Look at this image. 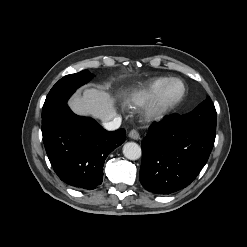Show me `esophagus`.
Wrapping results in <instances>:
<instances>
[{"label": "esophagus", "instance_id": "1", "mask_svg": "<svg viewBox=\"0 0 247 247\" xmlns=\"http://www.w3.org/2000/svg\"><path fill=\"white\" fill-rule=\"evenodd\" d=\"M129 137L133 140H139L140 139V135L136 130H131L129 132Z\"/></svg>", "mask_w": 247, "mask_h": 247}]
</instances>
